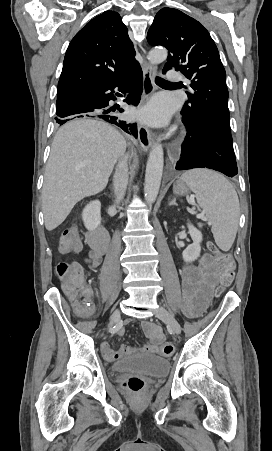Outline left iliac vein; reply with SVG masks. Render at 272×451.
I'll use <instances>...</instances> for the list:
<instances>
[{"label": "left iliac vein", "mask_w": 272, "mask_h": 451, "mask_svg": "<svg viewBox=\"0 0 272 451\" xmlns=\"http://www.w3.org/2000/svg\"><path fill=\"white\" fill-rule=\"evenodd\" d=\"M156 316L158 318H160L161 320H163L170 329L173 330V332L175 334H180L181 333V327L180 324L178 323V321L174 318V316L168 311L166 310L164 307L160 306L156 312H155Z\"/></svg>", "instance_id": "1"}]
</instances>
